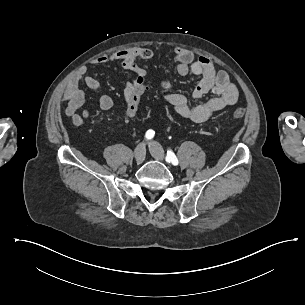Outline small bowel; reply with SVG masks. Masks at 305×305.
<instances>
[{"instance_id": "c3829d8e", "label": "small bowel", "mask_w": 305, "mask_h": 305, "mask_svg": "<svg viewBox=\"0 0 305 305\" xmlns=\"http://www.w3.org/2000/svg\"><path fill=\"white\" fill-rule=\"evenodd\" d=\"M154 51L148 47H133L130 49L118 50L109 55H100L91 59V65H101L107 63H119L121 67L131 70L135 78L124 86V97L134 91L139 86H145L147 71L140 64V60L152 58ZM173 61L176 63V72L180 76H186L189 73L200 76L192 97L200 99L205 94L212 92L213 97L201 102L198 105L191 106L187 97L183 94L172 92V83L162 81L161 87L165 91L164 99L173 107L175 112L183 118L195 123L207 121L214 113L236 103L238 99V90L231 81L229 75L224 71L215 70L210 60L205 56L195 57L190 50L177 47L174 49ZM87 67H82L74 75L68 84L65 99L67 102L65 114L69 117L75 126H83L85 120L90 116L89 111H80L85 101V93L79 88V82L83 81L85 85L93 90L101 89L100 82L87 74ZM99 106L103 111H108L113 107V100L110 96L103 94L99 98Z\"/></svg>"}]
</instances>
